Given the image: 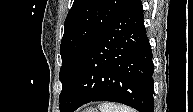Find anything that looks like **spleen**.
I'll use <instances>...</instances> for the list:
<instances>
[{"label": "spleen", "mask_w": 193, "mask_h": 112, "mask_svg": "<svg viewBox=\"0 0 193 112\" xmlns=\"http://www.w3.org/2000/svg\"><path fill=\"white\" fill-rule=\"evenodd\" d=\"M101 112H135L132 108L123 106V105H116L113 103H103L100 105Z\"/></svg>", "instance_id": "obj_1"}]
</instances>
